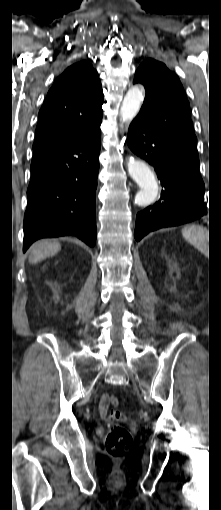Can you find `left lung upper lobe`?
I'll return each instance as SVG.
<instances>
[{"label":"left lung upper lobe","instance_id":"obj_1","mask_svg":"<svg viewBox=\"0 0 221 510\" xmlns=\"http://www.w3.org/2000/svg\"><path fill=\"white\" fill-rule=\"evenodd\" d=\"M138 82L144 85L146 96L137 117L147 122L160 137L198 154L190 105L176 74L165 64L149 58L136 71L134 83Z\"/></svg>","mask_w":221,"mask_h":510}]
</instances>
